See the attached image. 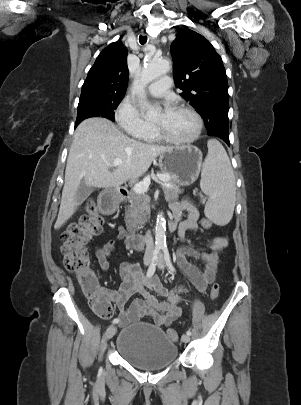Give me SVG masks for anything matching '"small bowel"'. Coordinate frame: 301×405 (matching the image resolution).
<instances>
[{"label":"small bowel","mask_w":301,"mask_h":405,"mask_svg":"<svg viewBox=\"0 0 301 405\" xmlns=\"http://www.w3.org/2000/svg\"><path fill=\"white\" fill-rule=\"evenodd\" d=\"M170 212L173 220L179 222V237L186 238L187 231L199 228V212L190 202L183 200L172 202ZM126 235L124 228L117 229V239ZM228 244L225 237H215L211 241L210 252H200L189 246H182L176 252V262L185 275L191 280L199 292H204L215 280L219 266L218 253ZM115 246L114 240L104 242L95 251L96 258L103 270L110 268L109 256ZM194 261L202 262L199 267ZM122 283L119 289L103 288V295L108 303L115 304L121 326L136 322L142 318H150L158 325L168 326L182 314L180 306L183 294L182 287L172 290L165 289L157 275L144 278L140 267L135 262H124L120 266ZM134 295L139 298L132 300Z\"/></svg>","instance_id":"c3829d8e"}]
</instances>
